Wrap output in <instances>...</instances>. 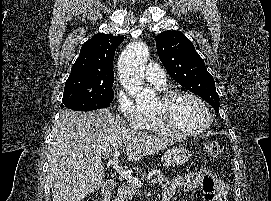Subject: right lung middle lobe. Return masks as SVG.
Wrapping results in <instances>:
<instances>
[{"label": "right lung middle lobe", "instance_id": "1", "mask_svg": "<svg viewBox=\"0 0 271 201\" xmlns=\"http://www.w3.org/2000/svg\"><path fill=\"white\" fill-rule=\"evenodd\" d=\"M113 82L114 74L71 73L62 104L76 110L109 107L114 98Z\"/></svg>", "mask_w": 271, "mask_h": 201}]
</instances>
